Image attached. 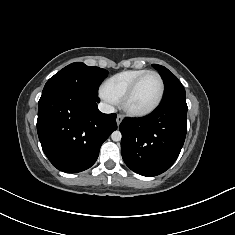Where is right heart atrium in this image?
<instances>
[{
  "mask_svg": "<svg viewBox=\"0 0 235 235\" xmlns=\"http://www.w3.org/2000/svg\"><path fill=\"white\" fill-rule=\"evenodd\" d=\"M99 96L108 107H112L117 103L116 99L106 92L102 87L99 90Z\"/></svg>",
  "mask_w": 235,
  "mask_h": 235,
  "instance_id": "1",
  "label": "right heart atrium"
}]
</instances>
